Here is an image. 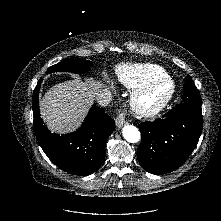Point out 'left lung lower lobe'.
Returning a JSON list of instances; mask_svg holds the SVG:
<instances>
[{
	"mask_svg": "<svg viewBox=\"0 0 221 221\" xmlns=\"http://www.w3.org/2000/svg\"><path fill=\"white\" fill-rule=\"evenodd\" d=\"M203 127L201 104L181 103L154 121L139 124L138 161L149 173L178 169L191 155Z\"/></svg>",
	"mask_w": 221,
	"mask_h": 221,
	"instance_id": "1",
	"label": "left lung lower lobe"
}]
</instances>
